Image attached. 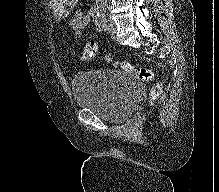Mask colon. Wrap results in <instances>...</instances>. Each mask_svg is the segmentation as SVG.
<instances>
[{
	"mask_svg": "<svg viewBox=\"0 0 219 192\" xmlns=\"http://www.w3.org/2000/svg\"><path fill=\"white\" fill-rule=\"evenodd\" d=\"M97 57V45L94 41L88 42L82 50L81 58L83 61H93ZM118 66L125 72L136 76L141 81H150L154 76V72L149 68H136L128 61L117 62ZM163 93V84H155L150 91L152 101L157 100Z\"/></svg>",
	"mask_w": 219,
	"mask_h": 192,
	"instance_id": "obj_1",
	"label": "colon"
}]
</instances>
